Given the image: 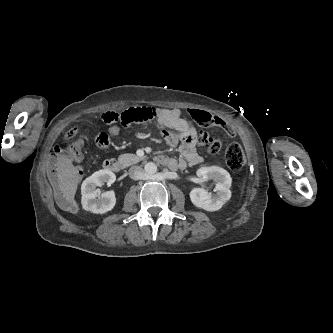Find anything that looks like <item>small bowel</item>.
<instances>
[{
    "instance_id": "small-bowel-1",
    "label": "small bowel",
    "mask_w": 333,
    "mask_h": 333,
    "mask_svg": "<svg viewBox=\"0 0 333 333\" xmlns=\"http://www.w3.org/2000/svg\"><path fill=\"white\" fill-rule=\"evenodd\" d=\"M158 110V117L155 119L156 122L168 128L171 132H167L165 139L170 146H175L180 143L179 151L182 157L180 159L169 158L166 156H159L157 160L168 166L171 169H185L188 164L198 165L203 162V158L198 154L196 150V134L190 126L189 120L180 111L175 109H164L159 107H153ZM188 115L197 124L206 127H221L231 137H236V130L231 127L226 121H223L220 117L213 116L210 113L203 110H188ZM124 126L129 123L122 124ZM120 131V126L115 124L110 127L109 132L112 135H117ZM62 161L69 159L76 163L81 162V152L78 156L70 154L63 155Z\"/></svg>"
}]
</instances>
